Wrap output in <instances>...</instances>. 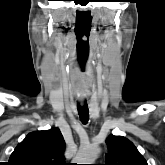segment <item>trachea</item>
Here are the masks:
<instances>
[{
	"label": "trachea",
	"mask_w": 165,
	"mask_h": 165,
	"mask_svg": "<svg viewBox=\"0 0 165 165\" xmlns=\"http://www.w3.org/2000/svg\"><path fill=\"white\" fill-rule=\"evenodd\" d=\"M77 109L81 122L86 124L89 120V110L87 103L85 102L82 105L78 104Z\"/></svg>",
	"instance_id": "3493384b"
}]
</instances>
